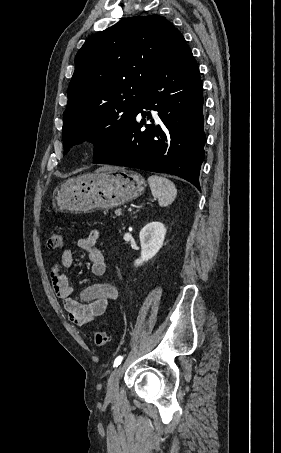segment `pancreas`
<instances>
[{
	"mask_svg": "<svg viewBox=\"0 0 281 453\" xmlns=\"http://www.w3.org/2000/svg\"><path fill=\"white\" fill-rule=\"evenodd\" d=\"M115 214H117V216H120V214H122L121 208H117V210H115Z\"/></svg>",
	"mask_w": 281,
	"mask_h": 453,
	"instance_id": "cf45deb5",
	"label": "pancreas"
}]
</instances>
